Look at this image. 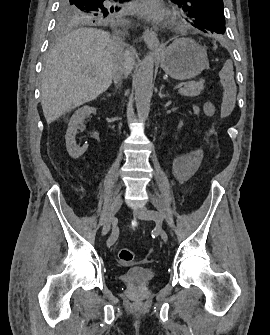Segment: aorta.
I'll use <instances>...</instances> for the list:
<instances>
[{
  "instance_id": "1",
  "label": "aorta",
  "mask_w": 270,
  "mask_h": 335,
  "mask_svg": "<svg viewBox=\"0 0 270 335\" xmlns=\"http://www.w3.org/2000/svg\"><path fill=\"white\" fill-rule=\"evenodd\" d=\"M154 56L147 54L140 64L135 80V102L139 118H148L153 88Z\"/></svg>"
}]
</instances>
